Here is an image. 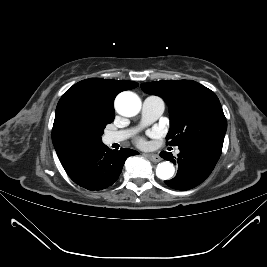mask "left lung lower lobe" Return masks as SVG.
<instances>
[{"label": "left lung lower lobe", "instance_id": "left-lung-lower-lobe-1", "mask_svg": "<svg viewBox=\"0 0 267 267\" xmlns=\"http://www.w3.org/2000/svg\"><path fill=\"white\" fill-rule=\"evenodd\" d=\"M175 160L170 152L162 151L160 156L178 164L177 175L164 181L176 190H189L202 183L212 172L222 152V147L212 144H191L179 147Z\"/></svg>", "mask_w": 267, "mask_h": 267}]
</instances>
